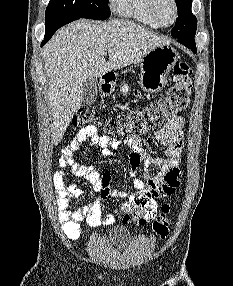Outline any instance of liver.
<instances>
[{"label": "liver", "instance_id": "6515ba94", "mask_svg": "<svg viewBox=\"0 0 233 286\" xmlns=\"http://www.w3.org/2000/svg\"><path fill=\"white\" fill-rule=\"evenodd\" d=\"M165 44L164 37L128 20L102 23L82 19L60 29L43 49L53 144L61 141L80 108L86 79L124 68Z\"/></svg>", "mask_w": 233, "mask_h": 286}]
</instances>
